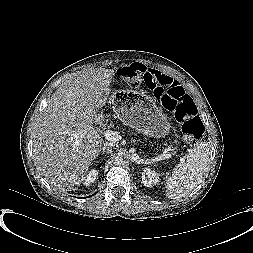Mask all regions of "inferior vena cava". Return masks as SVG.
Here are the masks:
<instances>
[{"instance_id":"602c4592","label":"inferior vena cava","mask_w":253,"mask_h":253,"mask_svg":"<svg viewBox=\"0 0 253 253\" xmlns=\"http://www.w3.org/2000/svg\"><path fill=\"white\" fill-rule=\"evenodd\" d=\"M112 148H113V145L111 143H105L104 144V147H103V150L108 152V153H111L112 152Z\"/></svg>"}]
</instances>
